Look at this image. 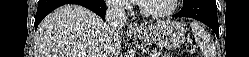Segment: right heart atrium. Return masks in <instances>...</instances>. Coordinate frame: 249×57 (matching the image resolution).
Instances as JSON below:
<instances>
[{
    "mask_svg": "<svg viewBox=\"0 0 249 57\" xmlns=\"http://www.w3.org/2000/svg\"><path fill=\"white\" fill-rule=\"evenodd\" d=\"M107 4L114 10L123 11L129 8V4L125 0L107 1Z\"/></svg>",
    "mask_w": 249,
    "mask_h": 57,
    "instance_id": "obj_1",
    "label": "right heart atrium"
}]
</instances>
